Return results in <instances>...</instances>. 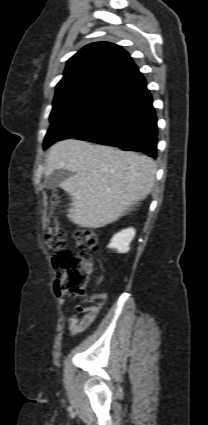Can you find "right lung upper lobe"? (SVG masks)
<instances>
[{
	"instance_id": "1",
	"label": "right lung upper lobe",
	"mask_w": 208,
	"mask_h": 425,
	"mask_svg": "<svg viewBox=\"0 0 208 425\" xmlns=\"http://www.w3.org/2000/svg\"><path fill=\"white\" fill-rule=\"evenodd\" d=\"M127 51L108 42H96L79 50L66 65L56 86L54 101L83 90H104L131 68Z\"/></svg>"
}]
</instances>
